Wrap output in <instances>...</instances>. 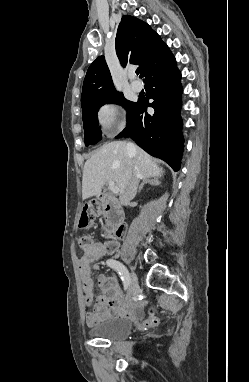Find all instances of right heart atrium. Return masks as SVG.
I'll return each mask as SVG.
<instances>
[{
	"instance_id": "d8ad5b80",
	"label": "right heart atrium",
	"mask_w": 249,
	"mask_h": 382,
	"mask_svg": "<svg viewBox=\"0 0 249 382\" xmlns=\"http://www.w3.org/2000/svg\"><path fill=\"white\" fill-rule=\"evenodd\" d=\"M100 128L107 133L119 131L123 127L120 109L114 103H107L100 107L97 113Z\"/></svg>"
}]
</instances>
